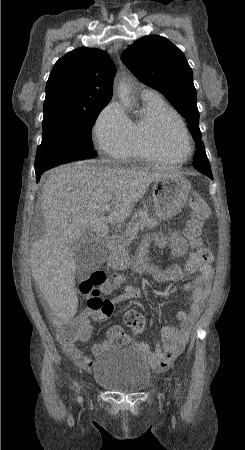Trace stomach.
Returning <instances> with one entry per match:
<instances>
[{"mask_svg":"<svg viewBox=\"0 0 245 450\" xmlns=\"http://www.w3.org/2000/svg\"><path fill=\"white\" fill-rule=\"evenodd\" d=\"M190 191V182L182 176L156 179L152 186V197L158 219L168 221L179 214L188 201ZM108 261L116 269H125L131 264L124 247L112 249Z\"/></svg>","mask_w":245,"mask_h":450,"instance_id":"obj_1","label":"stomach"}]
</instances>
